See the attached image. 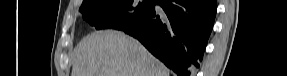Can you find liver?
<instances>
[{
    "instance_id": "1",
    "label": "liver",
    "mask_w": 287,
    "mask_h": 76,
    "mask_svg": "<svg viewBox=\"0 0 287 76\" xmlns=\"http://www.w3.org/2000/svg\"><path fill=\"white\" fill-rule=\"evenodd\" d=\"M71 76H169L139 41L119 31L84 37L74 49Z\"/></svg>"
}]
</instances>
